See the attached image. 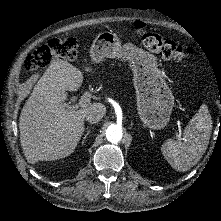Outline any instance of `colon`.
<instances>
[{
  "label": "colon",
  "instance_id": "obj_1",
  "mask_svg": "<svg viewBox=\"0 0 221 221\" xmlns=\"http://www.w3.org/2000/svg\"><path fill=\"white\" fill-rule=\"evenodd\" d=\"M134 25L141 32V44L146 49L157 53L162 59L185 62L194 54V49L191 47L181 46L155 33L146 31L140 22H135ZM77 48L78 39L75 35L52 39L25 58L24 69L27 73H32L53 61L74 59L77 56Z\"/></svg>",
  "mask_w": 221,
  "mask_h": 221
}]
</instances>
